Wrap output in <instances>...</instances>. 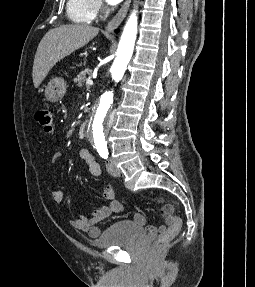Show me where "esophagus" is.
<instances>
[{
  "mask_svg": "<svg viewBox=\"0 0 255 287\" xmlns=\"http://www.w3.org/2000/svg\"><path fill=\"white\" fill-rule=\"evenodd\" d=\"M131 0H125L122 7L119 9V11L114 15V17L110 20L108 24V31H112L113 29H116L118 25L122 22V20L125 18L129 6H130Z\"/></svg>",
  "mask_w": 255,
  "mask_h": 287,
  "instance_id": "esophagus-1",
  "label": "esophagus"
}]
</instances>
